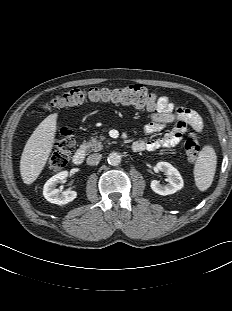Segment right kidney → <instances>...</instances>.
<instances>
[{"instance_id": "ca27d5eb", "label": "right kidney", "mask_w": 232, "mask_h": 311, "mask_svg": "<svg viewBox=\"0 0 232 311\" xmlns=\"http://www.w3.org/2000/svg\"><path fill=\"white\" fill-rule=\"evenodd\" d=\"M68 176L67 171H62L52 176L44 185L43 195L47 201L53 204L63 205L73 201L76 196V191L66 190L60 193L59 189H55L57 183L63 181Z\"/></svg>"}]
</instances>
